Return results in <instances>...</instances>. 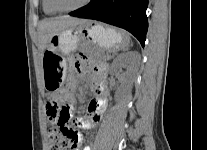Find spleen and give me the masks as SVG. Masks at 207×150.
Here are the masks:
<instances>
[{"instance_id": "3e777b00", "label": "spleen", "mask_w": 207, "mask_h": 150, "mask_svg": "<svg viewBox=\"0 0 207 150\" xmlns=\"http://www.w3.org/2000/svg\"><path fill=\"white\" fill-rule=\"evenodd\" d=\"M128 48H129V44L126 45L125 47H123L122 50H123V51H126V50H128Z\"/></svg>"}]
</instances>
